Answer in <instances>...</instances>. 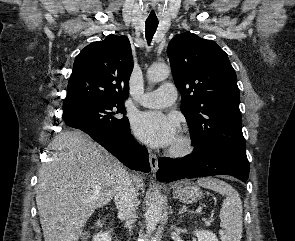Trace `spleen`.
Here are the masks:
<instances>
[{
    "label": "spleen",
    "mask_w": 295,
    "mask_h": 241,
    "mask_svg": "<svg viewBox=\"0 0 295 241\" xmlns=\"http://www.w3.org/2000/svg\"><path fill=\"white\" fill-rule=\"evenodd\" d=\"M197 184L203 188L226 195L220 219L223 229L219 231L221 241H240L242 238V202L238 192L228 183L216 178H202Z\"/></svg>",
    "instance_id": "3e777b00"
}]
</instances>
